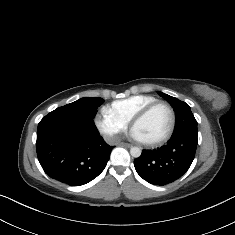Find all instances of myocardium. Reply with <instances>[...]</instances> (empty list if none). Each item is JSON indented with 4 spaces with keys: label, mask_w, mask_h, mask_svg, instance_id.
I'll return each mask as SVG.
<instances>
[{
    "label": "myocardium",
    "mask_w": 235,
    "mask_h": 235,
    "mask_svg": "<svg viewBox=\"0 0 235 235\" xmlns=\"http://www.w3.org/2000/svg\"><path fill=\"white\" fill-rule=\"evenodd\" d=\"M159 107H164L168 110L169 114H170V127L168 129V132L161 138L156 139L154 141L151 142H142L139 141V143L147 148H153L156 146H159L165 142H167L173 135L175 127H176V113L174 108L167 102L165 101H157L154 103H151L150 105L146 106L144 109H142L139 113H137L133 119L131 120V124L130 127L133 130V127L136 123H138L139 121L145 119L153 110H155L156 108Z\"/></svg>",
    "instance_id": "myocardium-1"
}]
</instances>
